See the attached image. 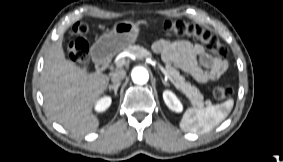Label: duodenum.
I'll return each mask as SVG.
<instances>
[{
	"instance_id": "410a0bca",
	"label": "duodenum",
	"mask_w": 283,
	"mask_h": 162,
	"mask_svg": "<svg viewBox=\"0 0 283 162\" xmlns=\"http://www.w3.org/2000/svg\"><path fill=\"white\" fill-rule=\"evenodd\" d=\"M95 60H96L97 67L100 70H105L110 64V57L102 49H98L95 52Z\"/></svg>"
}]
</instances>
